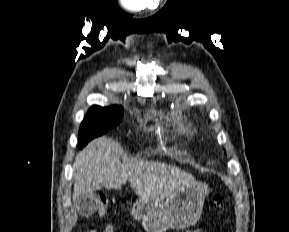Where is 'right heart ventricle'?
Masks as SVG:
<instances>
[{
  "label": "right heart ventricle",
  "mask_w": 289,
  "mask_h": 232,
  "mask_svg": "<svg viewBox=\"0 0 289 232\" xmlns=\"http://www.w3.org/2000/svg\"><path fill=\"white\" fill-rule=\"evenodd\" d=\"M189 132H190L189 126L184 120L178 119L175 122L174 134H175L176 137L182 138V137L188 136Z\"/></svg>",
  "instance_id": "e07e8e85"
}]
</instances>
